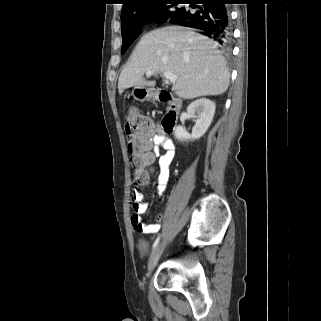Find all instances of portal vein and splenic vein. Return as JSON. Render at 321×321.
<instances>
[{"label": "portal vein and splenic vein", "mask_w": 321, "mask_h": 321, "mask_svg": "<svg viewBox=\"0 0 321 321\" xmlns=\"http://www.w3.org/2000/svg\"><path fill=\"white\" fill-rule=\"evenodd\" d=\"M154 74V71H147L146 76H151ZM163 76L170 82V83H175L177 80V76L173 73L170 72H164Z\"/></svg>", "instance_id": "portal-vein-and-splenic-vein-1"}]
</instances>
